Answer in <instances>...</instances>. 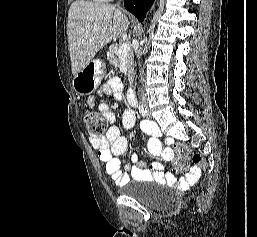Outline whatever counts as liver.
<instances>
[{
    "label": "liver",
    "mask_w": 257,
    "mask_h": 237,
    "mask_svg": "<svg viewBox=\"0 0 257 237\" xmlns=\"http://www.w3.org/2000/svg\"><path fill=\"white\" fill-rule=\"evenodd\" d=\"M128 26L126 15L113 5L73 2L67 20L72 74L81 71L105 45L125 35Z\"/></svg>",
    "instance_id": "obj_1"
}]
</instances>
